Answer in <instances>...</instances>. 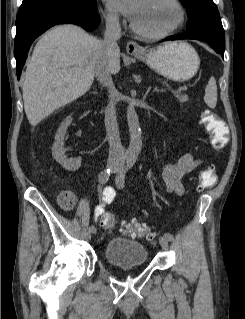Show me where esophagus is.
I'll list each match as a JSON object with an SVG mask.
<instances>
[{"label":"esophagus","mask_w":245,"mask_h":319,"mask_svg":"<svg viewBox=\"0 0 245 319\" xmlns=\"http://www.w3.org/2000/svg\"><path fill=\"white\" fill-rule=\"evenodd\" d=\"M126 51L129 54H138V53H142L143 49L142 47L136 43L135 41H129L126 45Z\"/></svg>","instance_id":"34e87169"}]
</instances>
